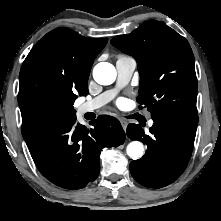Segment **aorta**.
I'll return each mask as SVG.
<instances>
[{"mask_svg":"<svg viewBox=\"0 0 221 221\" xmlns=\"http://www.w3.org/2000/svg\"><path fill=\"white\" fill-rule=\"evenodd\" d=\"M94 80L101 85H110L116 79V69L108 62L98 63L93 69ZM144 147L139 141H133L127 146V154L137 160L143 156Z\"/></svg>","mask_w":221,"mask_h":221,"instance_id":"762f6f07","label":"aorta"}]
</instances>
